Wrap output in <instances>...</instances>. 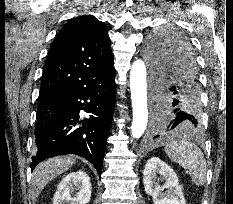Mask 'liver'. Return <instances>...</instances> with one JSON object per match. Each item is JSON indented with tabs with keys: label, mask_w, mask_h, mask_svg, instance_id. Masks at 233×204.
Returning a JSON list of instances; mask_svg holds the SVG:
<instances>
[{
	"label": "liver",
	"mask_w": 233,
	"mask_h": 204,
	"mask_svg": "<svg viewBox=\"0 0 233 204\" xmlns=\"http://www.w3.org/2000/svg\"><path fill=\"white\" fill-rule=\"evenodd\" d=\"M75 162L72 156H57L38 164L32 175L33 200L37 199L49 181L68 170Z\"/></svg>",
	"instance_id": "6515ba94"
}]
</instances>
